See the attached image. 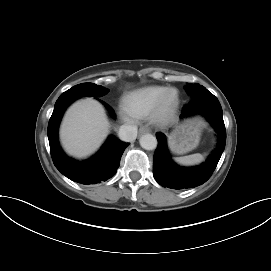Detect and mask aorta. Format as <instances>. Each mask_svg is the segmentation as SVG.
<instances>
[{"mask_svg": "<svg viewBox=\"0 0 271 271\" xmlns=\"http://www.w3.org/2000/svg\"><path fill=\"white\" fill-rule=\"evenodd\" d=\"M140 145L146 150H153L157 147V139L152 134H144L140 137Z\"/></svg>", "mask_w": 271, "mask_h": 271, "instance_id": "aorta-1", "label": "aorta"}]
</instances>
